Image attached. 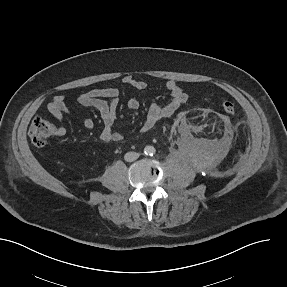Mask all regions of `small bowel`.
Returning <instances> with one entry per match:
<instances>
[{"label":"small bowel","mask_w":287,"mask_h":287,"mask_svg":"<svg viewBox=\"0 0 287 287\" xmlns=\"http://www.w3.org/2000/svg\"><path fill=\"white\" fill-rule=\"evenodd\" d=\"M125 85L131 86L136 90H144L146 82L127 75L122 78ZM165 89L170 94V100L164 104H152L141 125L143 132L151 130L161 119L171 117L183 104L186 103L188 96L179 82L169 80L165 84ZM76 102L84 107L96 109L101 116L103 129L99 138L103 142H121L124 136L114 130V124L117 118V109L120 103V90L118 87H108L102 89H93L76 96ZM127 106L131 110H137L140 106L136 98H130ZM48 112L58 121H62L65 115H75L74 111L67 105L63 95L55 96L47 105ZM86 129L94 127V121L90 117L80 118ZM65 129L59 126L57 133L64 134Z\"/></svg>","instance_id":"c3829d8e"}]
</instances>
